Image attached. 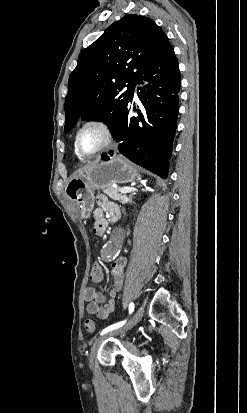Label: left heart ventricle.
<instances>
[{"instance_id":"b2bd125f","label":"left heart ventricle","mask_w":247,"mask_h":413,"mask_svg":"<svg viewBox=\"0 0 247 413\" xmlns=\"http://www.w3.org/2000/svg\"><path fill=\"white\" fill-rule=\"evenodd\" d=\"M105 137L103 129L87 128L80 135V146L84 152L91 153L103 144Z\"/></svg>"}]
</instances>
